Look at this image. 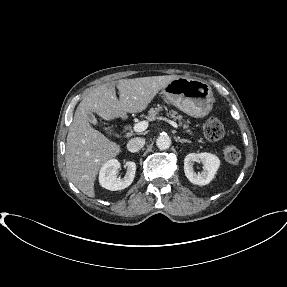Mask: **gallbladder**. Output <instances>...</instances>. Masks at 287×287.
I'll use <instances>...</instances> for the list:
<instances>
[{"label": "gallbladder", "instance_id": "bac80fb5", "mask_svg": "<svg viewBox=\"0 0 287 287\" xmlns=\"http://www.w3.org/2000/svg\"><path fill=\"white\" fill-rule=\"evenodd\" d=\"M87 119L90 123H92L94 125H98L97 119L95 118V116L91 112L87 113Z\"/></svg>", "mask_w": 287, "mask_h": 287}]
</instances>
